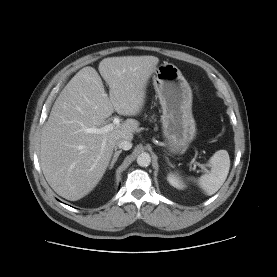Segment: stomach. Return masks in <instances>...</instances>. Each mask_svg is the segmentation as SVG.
<instances>
[{
    "instance_id": "obj_1",
    "label": "stomach",
    "mask_w": 277,
    "mask_h": 277,
    "mask_svg": "<svg viewBox=\"0 0 277 277\" xmlns=\"http://www.w3.org/2000/svg\"><path fill=\"white\" fill-rule=\"evenodd\" d=\"M153 85L162 107V129L169 150L181 151L196 135L192 91L177 66L164 62L154 71Z\"/></svg>"
}]
</instances>
